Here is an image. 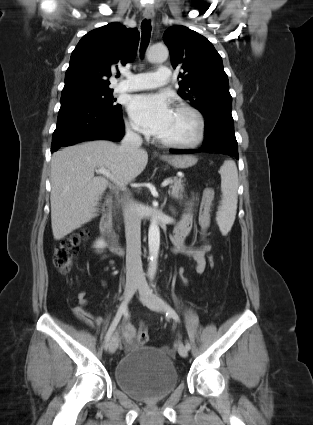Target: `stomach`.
<instances>
[{
	"label": "stomach",
	"instance_id": "obj_1",
	"mask_svg": "<svg viewBox=\"0 0 313 425\" xmlns=\"http://www.w3.org/2000/svg\"><path fill=\"white\" fill-rule=\"evenodd\" d=\"M175 169H186L197 162V158L191 155H172L164 158Z\"/></svg>",
	"mask_w": 313,
	"mask_h": 425
}]
</instances>
